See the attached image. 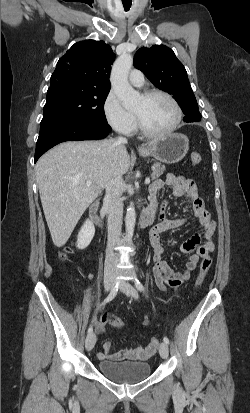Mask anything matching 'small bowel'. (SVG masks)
Wrapping results in <instances>:
<instances>
[{"label": "small bowel", "instance_id": "small-bowel-1", "mask_svg": "<svg viewBox=\"0 0 250 413\" xmlns=\"http://www.w3.org/2000/svg\"><path fill=\"white\" fill-rule=\"evenodd\" d=\"M172 188V195L176 198L186 196L188 204L193 209L194 217L199 221L202 231L193 235L190 239L182 243L180 250L183 253H190L185 262V269L182 272L174 271L164 260V247L161 243L160 235L166 231L177 229L185 225L186 218L168 219L165 217L164 209L166 201L159 202L158 193L164 187ZM150 208L158 211V221L150 231V242L153 248V274L156 285L162 291L168 288L178 289L182 284L189 281L191 273L197 268L200 258L209 255L215 249L214 234L215 223L210 218L205 209L203 200L199 197L197 187L194 181L185 176H177L167 174L164 180H156L150 186ZM201 238L204 243L200 244ZM149 323V317L144 318V324ZM104 325L98 324L99 331H103ZM104 352H99L97 358L99 360H140L145 361L151 358L155 353L156 348L150 344L147 346H138L136 348L112 351L110 342H105L103 345Z\"/></svg>", "mask_w": 250, "mask_h": 413}]
</instances>
